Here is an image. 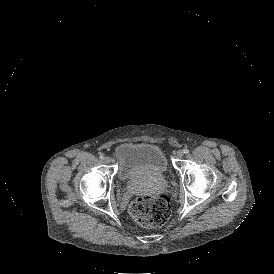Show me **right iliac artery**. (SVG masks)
<instances>
[{
  "label": "right iliac artery",
  "mask_w": 274,
  "mask_h": 274,
  "mask_svg": "<svg viewBox=\"0 0 274 274\" xmlns=\"http://www.w3.org/2000/svg\"><path fill=\"white\" fill-rule=\"evenodd\" d=\"M99 158H100L101 160H103V159H104V155L101 154V155L99 156Z\"/></svg>",
  "instance_id": "82829eb1"
}]
</instances>
